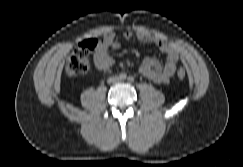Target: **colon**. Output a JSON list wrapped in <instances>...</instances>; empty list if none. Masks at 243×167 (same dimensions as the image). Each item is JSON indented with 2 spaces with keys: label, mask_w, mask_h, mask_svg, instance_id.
<instances>
[{
  "label": "colon",
  "mask_w": 243,
  "mask_h": 167,
  "mask_svg": "<svg viewBox=\"0 0 243 167\" xmlns=\"http://www.w3.org/2000/svg\"><path fill=\"white\" fill-rule=\"evenodd\" d=\"M99 44L100 40L98 38H88L80 42L67 60V74L70 76L85 74L90 68L92 53L98 48ZM185 76V70L179 69L177 77L184 79Z\"/></svg>",
  "instance_id": "5ec220e1"
}]
</instances>
